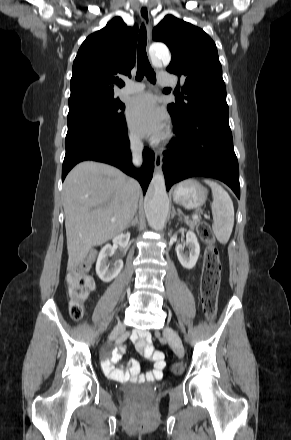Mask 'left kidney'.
Here are the masks:
<instances>
[{"instance_id":"left-kidney-1","label":"left kidney","mask_w":291,"mask_h":440,"mask_svg":"<svg viewBox=\"0 0 291 440\" xmlns=\"http://www.w3.org/2000/svg\"><path fill=\"white\" fill-rule=\"evenodd\" d=\"M185 245L188 246L189 252L184 251ZM176 253L179 262L184 268L192 269L196 265L200 254V246L193 231L186 233V242L177 246Z\"/></svg>"}]
</instances>
